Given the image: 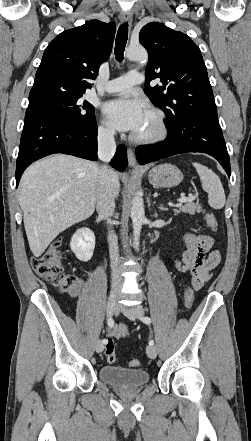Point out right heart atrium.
<instances>
[{
  "instance_id": "right-heart-atrium-1",
  "label": "right heart atrium",
  "mask_w": 251,
  "mask_h": 441,
  "mask_svg": "<svg viewBox=\"0 0 251 441\" xmlns=\"http://www.w3.org/2000/svg\"><path fill=\"white\" fill-rule=\"evenodd\" d=\"M98 134L103 139H110L113 136L114 131L110 125H108L105 122H102L98 126Z\"/></svg>"
}]
</instances>
